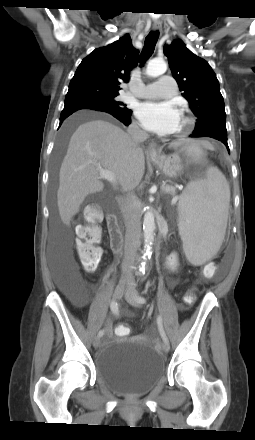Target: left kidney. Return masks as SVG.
<instances>
[{
  "label": "left kidney",
  "mask_w": 255,
  "mask_h": 440,
  "mask_svg": "<svg viewBox=\"0 0 255 440\" xmlns=\"http://www.w3.org/2000/svg\"><path fill=\"white\" fill-rule=\"evenodd\" d=\"M167 263L171 267L172 270H175L176 266H177V254L172 253L171 255H169L167 257Z\"/></svg>",
  "instance_id": "left-kidney-1"
}]
</instances>
